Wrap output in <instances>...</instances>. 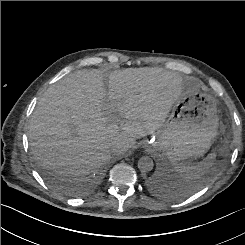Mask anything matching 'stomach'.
<instances>
[{
	"instance_id": "1",
	"label": "stomach",
	"mask_w": 245,
	"mask_h": 245,
	"mask_svg": "<svg viewBox=\"0 0 245 245\" xmlns=\"http://www.w3.org/2000/svg\"><path fill=\"white\" fill-rule=\"evenodd\" d=\"M217 100L190 81H185L180 97L151 146L171 162L189 164L203 156L219 134Z\"/></svg>"
}]
</instances>
